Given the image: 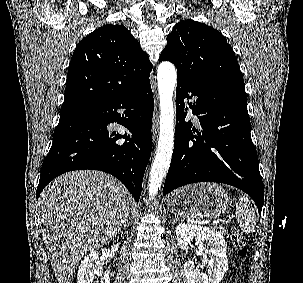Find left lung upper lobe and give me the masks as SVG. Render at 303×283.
Returning a JSON list of instances; mask_svg holds the SVG:
<instances>
[{
	"instance_id": "obj_1",
	"label": "left lung upper lobe",
	"mask_w": 303,
	"mask_h": 283,
	"mask_svg": "<svg viewBox=\"0 0 303 283\" xmlns=\"http://www.w3.org/2000/svg\"><path fill=\"white\" fill-rule=\"evenodd\" d=\"M159 60L172 62L178 78L187 82L229 87L245 94L233 49L219 31L206 24L193 20L178 22L167 36Z\"/></svg>"
}]
</instances>
